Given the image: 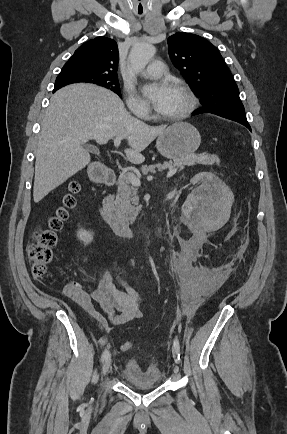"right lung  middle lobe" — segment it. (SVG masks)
I'll return each mask as SVG.
<instances>
[{"label": "right lung middle lobe", "instance_id": "1", "mask_svg": "<svg viewBox=\"0 0 287 434\" xmlns=\"http://www.w3.org/2000/svg\"><path fill=\"white\" fill-rule=\"evenodd\" d=\"M80 82L103 86L121 97L119 82L116 76L92 74L79 69L63 68L56 78L55 86L63 87L67 84Z\"/></svg>", "mask_w": 287, "mask_h": 434}]
</instances>
